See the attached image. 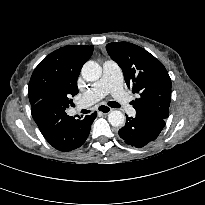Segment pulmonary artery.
<instances>
[{
    "label": "pulmonary artery",
    "instance_id": "obj_1",
    "mask_svg": "<svg viewBox=\"0 0 205 205\" xmlns=\"http://www.w3.org/2000/svg\"><path fill=\"white\" fill-rule=\"evenodd\" d=\"M108 93L112 94L123 111L131 116L136 114L128 94L123 89L121 69L117 63L110 60L103 63L102 77L83 94L79 107L91 106Z\"/></svg>",
    "mask_w": 205,
    "mask_h": 205
}]
</instances>
